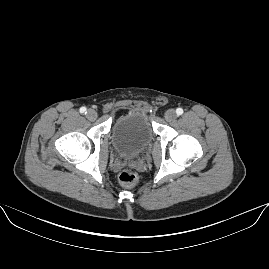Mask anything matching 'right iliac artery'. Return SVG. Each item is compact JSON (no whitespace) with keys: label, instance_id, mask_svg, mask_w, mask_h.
Returning <instances> with one entry per match:
<instances>
[{"label":"right iliac artery","instance_id":"obj_1","mask_svg":"<svg viewBox=\"0 0 269 269\" xmlns=\"http://www.w3.org/2000/svg\"><path fill=\"white\" fill-rule=\"evenodd\" d=\"M80 113H85L86 114V108L85 107H81L80 108Z\"/></svg>","mask_w":269,"mask_h":269}]
</instances>
